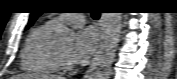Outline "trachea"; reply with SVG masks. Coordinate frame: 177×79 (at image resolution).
<instances>
[{"label": "trachea", "mask_w": 177, "mask_h": 79, "mask_svg": "<svg viewBox=\"0 0 177 79\" xmlns=\"http://www.w3.org/2000/svg\"><path fill=\"white\" fill-rule=\"evenodd\" d=\"M99 14H92L93 19L97 20L99 18Z\"/></svg>", "instance_id": "1"}]
</instances>
